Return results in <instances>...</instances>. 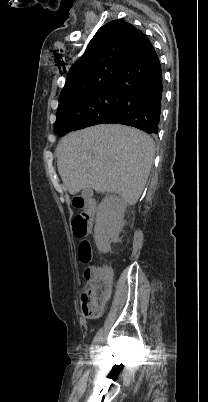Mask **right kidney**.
I'll list each match as a JSON object with an SVG mask.
<instances>
[{
    "instance_id": "ca27d5eb",
    "label": "right kidney",
    "mask_w": 208,
    "mask_h": 402,
    "mask_svg": "<svg viewBox=\"0 0 208 402\" xmlns=\"http://www.w3.org/2000/svg\"><path fill=\"white\" fill-rule=\"evenodd\" d=\"M126 208V202L118 196H106L99 204L94 228V240L99 252H110L111 242H118Z\"/></svg>"
}]
</instances>
